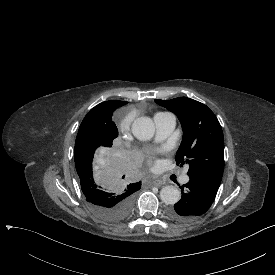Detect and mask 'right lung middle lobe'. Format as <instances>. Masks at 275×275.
Returning a JSON list of instances; mask_svg holds the SVG:
<instances>
[{"label":"right lung middle lobe","mask_w":275,"mask_h":275,"mask_svg":"<svg viewBox=\"0 0 275 275\" xmlns=\"http://www.w3.org/2000/svg\"><path fill=\"white\" fill-rule=\"evenodd\" d=\"M115 123H81L75 141V166L81 192L89 206L102 218L120 221L131 210L134 192L125 189L129 163L118 139Z\"/></svg>","instance_id":"obj_1"}]
</instances>
